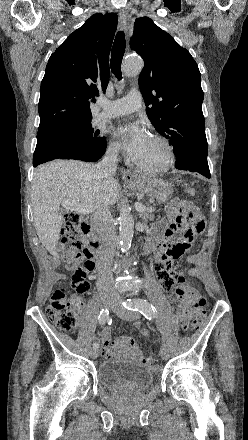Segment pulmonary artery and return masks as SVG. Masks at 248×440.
I'll list each match as a JSON object with an SVG mask.
<instances>
[{
    "mask_svg": "<svg viewBox=\"0 0 248 440\" xmlns=\"http://www.w3.org/2000/svg\"><path fill=\"white\" fill-rule=\"evenodd\" d=\"M142 95L138 90H131L125 97L115 101L104 98L98 101L101 112L96 116L98 120L114 118L133 113L141 108Z\"/></svg>",
    "mask_w": 248,
    "mask_h": 440,
    "instance_id": "obj_1",
    "label": "pulmonary artery"
}]
</instances>
